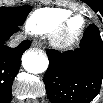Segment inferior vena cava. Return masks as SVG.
<instances>
[{"label": "inferior vena cava", "instance_id": "602c4592", "mask_svg": "<svg viewBox=\"0 0 103 103\" xmlns=\"http://www.w3.org/2000/svg\"><path fill=\"white\" fill-rule=\"evenodd\" d=\"M20 40H21V37L18 36V37H16V38H14V39L8 44V46H10V47H16V46L19 44Z\"/></svg>", "mask_w": 103, "mask_h": 103}]
</instances>
